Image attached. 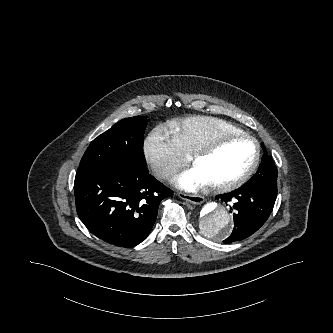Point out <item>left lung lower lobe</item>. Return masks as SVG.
<instances>
[{"label":"left lung lower lobe","mask_w":333,"mask_h":333,"mask_svg":"<svg viewBox=\"0 0 333 333\" xmlns=\"http://www.w3.org/2000/svg\"><path fill=\"white\" fill-rule=\"evenodd\" d=\"M276 197L275 188L246 185L231 193L217 196V199L223 202H233L230 210L234 211V228L230 237L223 242L243 240L256 232L271 214Z\"/></svg>","instance_id":"obj_1"}]
</instances>
